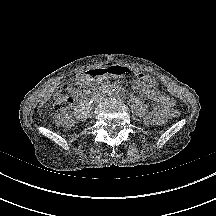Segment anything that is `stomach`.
<instances>
[{
  "label": "stomach",
  "instance_id": "0dacf381",
  "mask_svg": "<svg viewBox=\"0 0 216 216\" xmlns=\"http://www.w3.org/2000/svg\"><path fill=\"white\" fill-rule=\"evenodd\" d=\"M101 74H106L109 78H118L129 80L133 76V71L128 65H109L104 69L100 70Z\"/></svg>",
  "mask_w": 216,
  "mask_h": 216
}]
</instances>
